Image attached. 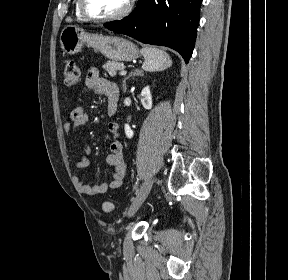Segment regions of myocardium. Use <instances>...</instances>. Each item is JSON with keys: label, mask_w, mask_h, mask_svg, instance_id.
I'll return each mask as SVG.
<instances>
[{"label": "myocardium", "mask_w": 288, "mask_h": 280, "mask_svg": "<svg viewBox=\"0 0 288 280\" xmlns=\"http://www.w3.org/2000/svg\"><path fill=\"white\" fill-rule=\"evenodd\" d=\"M78 4H79L80 13L85 19L90 20V21H95V22H110V21L120 20L128 15V13L131 10L132 0H127L126 5L121 11H119L116 14L109 15V16H99L90 12L87 7L86 0H78Z\"/></svg>", "instance_id": "myocardium-1"}]
</instances>
